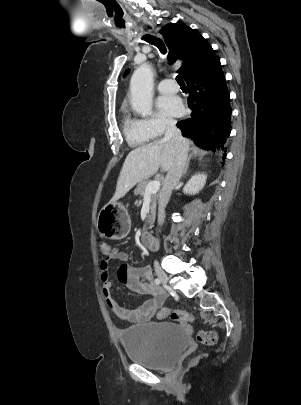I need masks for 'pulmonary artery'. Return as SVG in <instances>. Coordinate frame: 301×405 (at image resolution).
Instances as JSON below:
<instances>
[{"instance_id":"pulmonary-artery-1","label":"pulmonary artery","mask_w":301,"mask_h":405,"mask_svg":"<svg viewBox=\"0 0 301 405\" xmlns=\"http://www.w3.org/2000/svg\"><path fill=\"white\" fill-rule=\"evenodd\" d=\"M158 91L162 93H176L179 91L178 85L172 79H165L157 86Z\"/></svg>"}]
</instances>
